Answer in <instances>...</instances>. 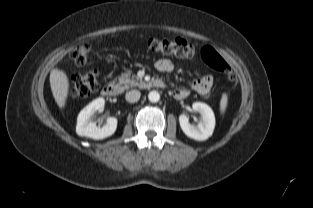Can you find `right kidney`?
<instances>
[{
    "mask_svg": "<svg viewBox=\"0 0 313 208\" xmlns=\"http://www.w3.org/2000/svg\"><path fill=\"white\" fill-rule=\"evenodd\" d=\"M104 104L105 100L103 98H97L79 113L76 125V133L79 136L102 140L115 133L117 118L109 117L106 125L102 128L97 127L96 123L92 120V116L96 111H103Z\"/></svg>",
    "mask_w": 313,
    "mask_h": 208,
    "instance_id": "obj_1",
    "label": "right kidney"
}]
</instances>
